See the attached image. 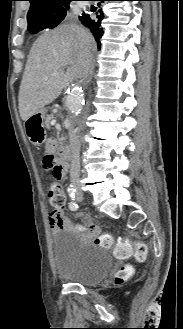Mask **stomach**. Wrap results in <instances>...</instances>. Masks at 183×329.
Wrapping results in <instances>:
<instances>
[{
  "instance_id": "1",
  "label": "stomach",
  "mask_w": 183,
  "mask_h": 329,
  "mask_svg": "<svg viewBox=\"0 0 183 329\" xmlns=\"http://www.w3.org/2000/svg\"><path fill=\"white\" fill-rule=\"evenodd\" d=\"M45 113H46V109H44V108H41L37 113H36V115H40V117H44L45 116ZM42 140H40V141H37L38 143H40Z\"/></svg>"
}]
</instances>
